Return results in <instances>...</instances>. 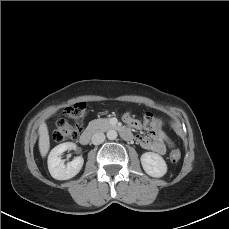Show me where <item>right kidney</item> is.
I'll use <instances>...</instances> for the list:
<instances>
[{"label":"right kidney","mask_w":229,"mask_h":229,"mask_svg":"<svg viewBox=\"0 0 229 229\" xmlns=\"http://www.w3.org/2000/svg\"><path fill=\"white\" fill-rule=\"evenodd\" d=\"M76 145L72 142H66L54 147L48 156V169L51 176L57 180H68L77 175L84 163L81 156L74 158L67 165L61 159V155L66 150L75 149Z\"/></svg>","instance_id":"obj_1"}]
</instances>
